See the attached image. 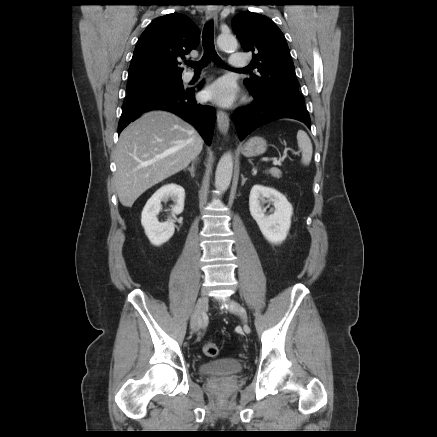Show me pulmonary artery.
Returning a JSON list of instances; mask_svg holds the SVG:
<instances>
[{"label": "pulmonary artery", "instance_id": "1", "mask_svg": "<svg viewBox=\"0 0 437 437\" xmlns=\"http://www.w3.org/2000/svg\"><path fill=\"white\" fill-rule=\"evenodd\" d=\"M229 64H230L231 68L239 69V68H243V67L247 66V60L244 57V55H242L240 53H233L230 56ZM193 76H194L193 73H188L186 75V78L189 80V79L193 78Z\"/></svg>", "mask_w": 437, "mask_h": 437}]
</instances>
